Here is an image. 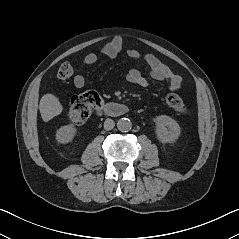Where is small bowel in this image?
<instances>
[{
	"instance_id": "c3829d8e",
	"label": "small bowel",
	"mask_w": 239,
	"mask_h": 239,
	"mask_svg": "<svg viewBox=\"0 0 239 239\" xmlns=\"http://www.w3.org/2000/svg\"><path fill=\"white\" fill-rule=\"evenodd\" d=\"M123 48V41L121 38H114L109 44L102 48L101 53L110 58L116 57ZM128 57L132 59H139L144 61L148 68L150 76L158 81H168L169 87L172 91H177L182 86L181 77L170 70L165 64H163L158 58L151 54H141L139 51L135 49L127 50ZM98 59L97 54L89 53L87 54L83 60L82 65H92L96 63ZM128 82L146 87L148 85L147 79L141 74V72L137 69H131L126 76ZM73 84L76 88L81 89L85 86L86 81L82 75H76L73 79Z\"/></svg>"
}]
</instances>
